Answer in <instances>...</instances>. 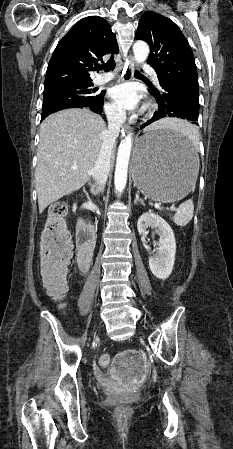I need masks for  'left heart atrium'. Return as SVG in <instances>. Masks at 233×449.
<instances>
[{"instance_id":"left-heart-atrium-1","label":"left heart atrium","mask_w":233,"mask_h":449,"mask_svg":"<svg viewBox=\"0 0 233 449\" xmlns=\"http://www.w3.org/2000/svg\"><path fill=\"white\" fill-rule=\"evenodd\" d=\"M109 97L120 109L134 110L138 107L140 97L132 84L122 83L109 90Z\"/></svg>"}]
</instances>
